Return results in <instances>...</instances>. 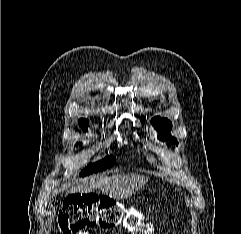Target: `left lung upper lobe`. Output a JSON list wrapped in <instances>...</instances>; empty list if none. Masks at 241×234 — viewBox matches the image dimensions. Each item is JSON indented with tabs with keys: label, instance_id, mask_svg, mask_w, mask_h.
Here are the masks:
<instances>
[{
	"label": "left lung upper lobe",
	"instance_id": "left-lung-upper-lobe-1",
	"mask_svg": "<svg viewBox=\"0 0 241 234\" xmlns=\"http://www.w3.org/2000/svg\"><path fill=\"white\" fill-rule=\"evenodd\" d=\"M152 125L158 131V138L162 141L170 140L178 146L177 139L172 137L170 131L172 129V123L167 118L154 117L151 120Z\"/></svg>",
	"mask_w": 241,
	"mask_h": 234
}]
</instances>
